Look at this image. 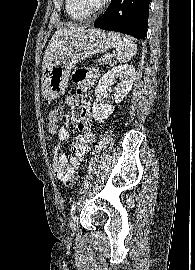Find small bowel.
<instances>
[{"label": "small bowel", "instance_id": "1", "mask_svg": "<svg viewBox=\"0 0 195 270\" xmlns=\"http://www.w3.org/2000/svg\"><path fill=\"white\" fill-rule=\"evenodd\" d=\"M97 72L93 69H79L73 74V81L78 84L75 94L67 95L65 103L73 105L78 99L85 96L97 80ZM68 118L76 122L77 135L70 144L72 156L67 158L62 150V143L69 138V132L65 127H58L57 123L49 122L48 131L57 136V144L54 147L52 167L55 176L65 181L79 168L84 155L95 136L91 128L92 113L88 105L81 107L80 111H70Z\"/></svg>", "mask_w": 195, "mask_h": 270}]
</instances>
